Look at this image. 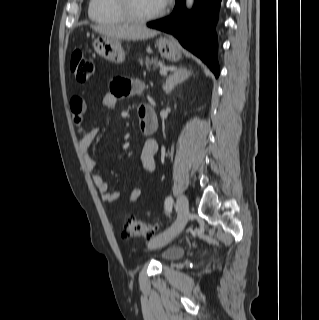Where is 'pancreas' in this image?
<instances>
[{"mask_svg":"<svg viewBox=\"0 0 319 320\" xmlns=\"http://www.w3.org/2000/svg\"><path fill=\"white\" fill-rule=\"evenodd\" d=\"M141 63H143L142 59H141ZM144 63L147 69H150L151 67L156 68L164 65L161 61L158 60L157 57L149 58L148 56L145 58Z\"/></svg>","mask_w":319,"mask_h":320,"instance_id":"cf45deb5","label":"pancreas"}]
</instances>
